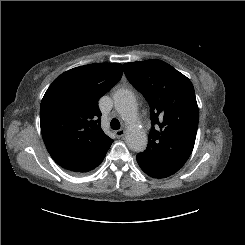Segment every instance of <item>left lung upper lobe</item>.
<instances>
[{
  "mask_svg": "<svg viewBox=\"0 0 245 245\" xmlns=\"http://www.w3.org/2000/svg\"><path fill=\"white\" fill-rule=\"evenodd\" d=\"M123 66L128 80L151 108L152 128L143 153L182 167L192 153L199 121L191 81L157 59Z\"/></svg>",
  "mask_w": 245,
  "mask_h": 245,
  "instance_id": "1",
  "label": "left lung upper lobe"
}]
</instances>
